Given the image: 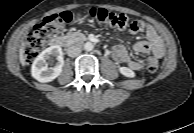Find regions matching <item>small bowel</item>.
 Instances as JSON below:
<instances>
[{
    "label": "small bowel",
    "mask_w": 194,
    "mask_h": 133,
    "mask_svg": "<svg viewBox=\"0 0 194 133\" xmlns=\"http://www.w3.org/2000/svg\"><path fill=\"white\" fill-rule=\"evenodd\" d=\"M136 32H143L145 40L135 43L133 50L136 53L150 55L147 60H133L126 46L122 44L114 46L111 55L118 63L125 64L131 70L139 71L146 67L147 61L159 59L164 55V43L155 28L142 21L127 24L126 33L128 35H133Z\"/></svg>",
    "instance_id": "obj_1"
}]
</instances>
